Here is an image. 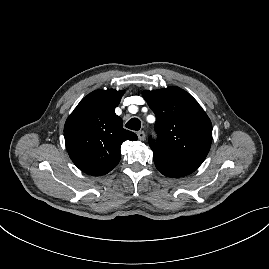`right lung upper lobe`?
Returning a JSON list of instances; mask_svg holds the SVG:
<instances>
[{
	"label": "right lung upper lobe",
	"instance_id": "1",
	"mask_svg": "<svg viewBox=\"0 0 269 269\" xmlns=\"http://www.w3.org/2000/svg\"><path fill=\"white\" fill-rule=\"evenodd\" d=\"M124 91H93L84 97L64 126L65 144L74 164L84 173L105 175L120 161V147L137 135L123 128L115 114Z\"/></svg>",
	"mask_w": 269,
	"mask_h": 269
}]
</instances>
